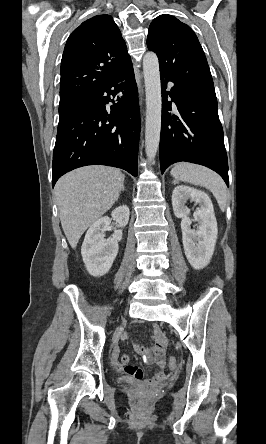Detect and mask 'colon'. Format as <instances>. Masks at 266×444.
Listing matches in <instances>:
<instances>
[{"label": "colon", "instance_id": "1", "mask_svg": "<svg viewBox=\"0 0 266 444\" xmlns=\"http://www.w3.org/2000/svg\"><path fill=\"white\" fill-rule=\"evenodd\" d=\"M168 364H169V367H170L171 369H176L177 366H178V364H177V360H176L174 357H170V358H169V360H168Z\"/></svg>", "mask_w": 266, "mask_h": 444}]
</instances>
